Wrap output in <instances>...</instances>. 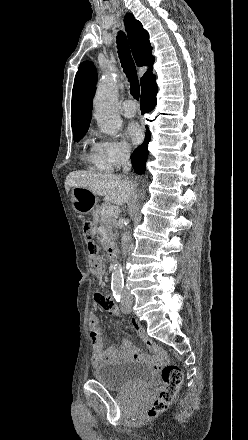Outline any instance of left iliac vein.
<instances>
[{"label":"left iliac vein","mask_w":248,"mask_h":440,"mask_svg":"<svg viewBox=\"0 0 248 440\" xmlns=\"http://www.w3.org/2000/svg\"><path fill=\"white\" fill-rule=\"evenodd\" d=\"M121 309L122 312L125 314H128L131 311V303L129 302V300H123Z\"/></svg>","instance_id":"1"}]
</instances>
